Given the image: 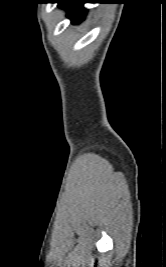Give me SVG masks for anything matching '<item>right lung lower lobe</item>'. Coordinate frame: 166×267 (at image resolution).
<instances>
[{"instance_id": "right-lung-lower-lobe-1", "label": "right lung lower lobe", "mask_w": 166, "mask_h": 267, "mask_svg": "<svg viewBox=\"0 0 166 267\" xmlns=\"http://www.w3.org/2000/svg\"><path fill=\"white\" fill-rule=\"evenodd\" d=\"M85 3L84 0H77V1H68V2H59L58 4L65 8L68 13L67 16L71 19L72 23L78 24L84 18V12L86 11L83 8V4ZM68 4H73L72 7H67Z\"/></svg>"}]
</instances>
